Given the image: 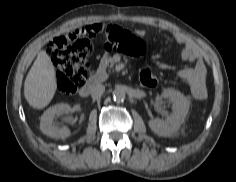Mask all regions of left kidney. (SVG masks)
Masks as SVG:
<instances>
[{
	"mask_svg": "<svg viewBox=\"0 0 236 182\" xmlns=\"http://www.w3.org/2000/svg\"><path fill=\"white\" fill-rule=\"evenodd\" d=\"M161 97L172 102V113L165 119H152L148 125L155 134L162 137H170L183 124L188 114L190 103L182 93L174 89H165L161 93Z\"/></svg>",
	"mask_w": 236,
	"mask_h": 182,
	"instance_id": "5707ae66",
	"label": "left kidney"
}]
</instances>
